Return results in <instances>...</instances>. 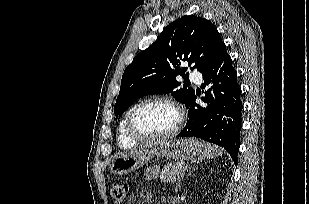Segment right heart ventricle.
<instances>
[{
  "instance_id": "1",
  "label": "right heart ventricle",
  "mask_w": 309,
  "mask_h": 204,
  "mask_svg": "<svg viewBox=\"0 0 309 204\" xmlns=\"http://www.w3.org/2000/svg\"><path fill=\"white\" fill-rule=\"evenodd\" d=\"M130 110L124 115L118 127V144L121 148L127 149L134 147L137 141L131 139L126 132V120Z\"/></svg>"
}]
</instances>
